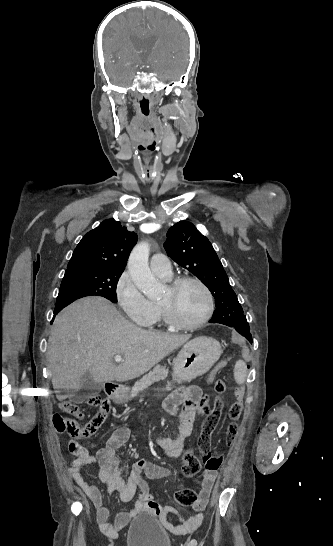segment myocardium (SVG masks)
I'll return each instance as SVG.
<instances>
[{
    "label": "myocardium",
    "instance_id": "obj_1",
    "mask_svg": "<svg viewBox=\"0 0 333 546\" xmlns=\"http://www.w3.org/2000/svg\"><path fill=\"white\" fill-rule=\"evenodd\" d=\"M185 283L196 284L202 289V291L204 292L206 296V309L204 314L199 320L193 323H184L179 321L177 318H175L165 305L159 303L158 308L161 312L163 320L170 327L177 330L192 331L202 327L209 321V319L211 318L214 312L215 302H214L213 293L211 292L210 288L206 285V283L203 282L201 279L194 276L176 277L175 279L171 280V282L168 285V288L171 291H175L177 288H179L181 285Z\"/></svg>",
    "mask_w": 333,
    "mask_h": 546
}]
</instances>
